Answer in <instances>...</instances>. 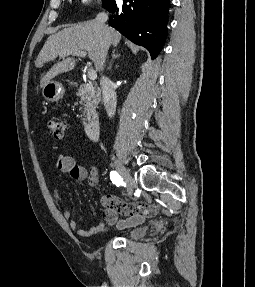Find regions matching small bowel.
I'll use <instances>...</instances> for the list:
<instances>
[{"mask_svg": "<svg viewBox=\"0 0 255 287\" xmlns=\"http://www.w3.org/2000/svg\"><path fill=\"white\" fill-rule=\"evenodd\" d=\"M56 169L60 174H68L75 181L88 180L91 185L97 182L95 171L88 172L84 167L79 166L73 157L61 155L56 163ZM52 198L59 209L62 217L69 220V227L81 237H92L100 233H105L110 227L115 226L118 229L137 226L158 213V206L155 204L132 203L126 204L118 197L104 195L101 197V203L104 206L103 221L92 226L89 229H81L77 220L71 217L70 211L65 207L59 196L58 189L52 191ZM126 216L125 219L118 220V215Z\"/></svg>", "mask_w": 255, "mask_h": 287, "instance_id": "small-bowel-1", "label": "small bowel"}]
</instances>
